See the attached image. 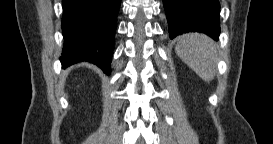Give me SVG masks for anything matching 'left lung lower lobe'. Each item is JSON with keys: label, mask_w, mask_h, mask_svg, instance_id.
<instances>
[{"label": "left lung lower lobe", "mask_w": 273, "mask_h": 144, "mask_svg": "<svg viewBox=\"0 0 273 144\" xmlns=\"http://www.w3.org/2000/svg\"><path fill=\"white\" fill-rule=\"evenodd\" d=\"M169 37L187 32H203L214 40L220 33L218 0H163Z\"/></svg>", "instance_id": "0a47b994"}]
</instances>
